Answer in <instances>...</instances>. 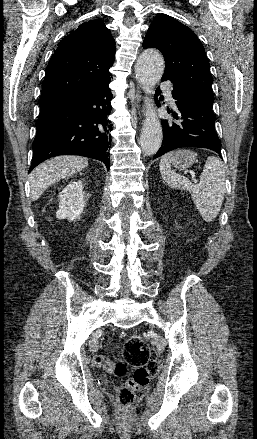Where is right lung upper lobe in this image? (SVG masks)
<instances>
[{"label":"right lung upper lobe","mask_w":257,"mask_h":439,"mask_svg":"<svg viewBox=\"0 0 257 439\" xmlns=\"http://www.w3.org/2000/svg\"><path fill=\"white\" fill-rule=\"evenodd\" d=\"M114 58L115 40L103 21L84 22L58 43L39 104L100 84L110 77Z\"/></svg>","instance_id":"cb5924a9"}]
</instances>
